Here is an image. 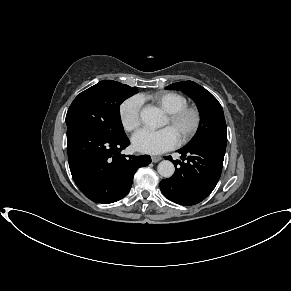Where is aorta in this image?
<instances>
[{"instance_id": "762f6f07", "label": "aorta", "mask_w": 291, "mask_h": 291, "mask_svg": "<svg viewBox=\"0 0 291 291\" xmlns=\"http://www.w3.org/2000/svg\"><path fill=\"white\" fill-rule=\"evenodd\" d=\"M140 118L143 124L151 129L159 128L162 125V113L156 107H144L140 112ZM157 170L162 177L170 178L174 174L175 168L171 161L163 160L158 164Z\"/></svg>"}]
</instances>
